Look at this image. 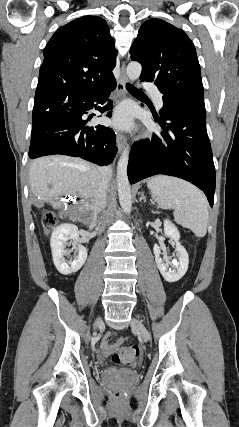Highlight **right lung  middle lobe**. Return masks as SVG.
Instances as JSON below:
<instances>
[{"mask_svg":"<svg viewBox=\"0 0 239 427\" xmlns=\"http://www.w3.org/2000/svg\"><path fill=\"white\" fill-rule=\"evenodd\" d=\"M54 98H46V99H40L35 100L34 102V108H33V115H32V123H34L39 116L50 107L52 104Z\"/></svg>","mask_w":239,"mask_h":427,"instance_id":"dd1d6c3e","label":"right lung middle lobe"}]
</instances>
